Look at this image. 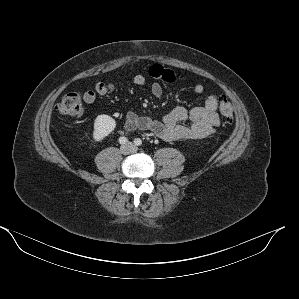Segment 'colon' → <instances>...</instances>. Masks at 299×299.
<instances>
[{
	"mask_svg": "<svg viewBox=\"0 0 299 299\" xmlns=\"http://www.w3.org/2000/svg\"><path fill=\"white\" fill-rule=\"evenodd\" d=\"M219 111L227 123L232 122L233 106L232 103L222 98L219 101ZM57 112L61 116L78 118L83 113L81 95L78 92L67 93L57 106Z\"/></svg>",
	"mask_w": 299,
	"mask_h": 299,
	"instance_id": "1",
	"label": "colon"
}]
</instances>
